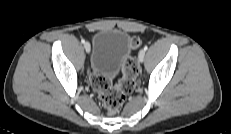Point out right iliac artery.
Returning a JSON list of instances; mask_svg holds the SVG:
<instances>
[{
	"instance_id": "1",
	"label": "right iliac artery",
	"mask_w": 231,
	"mask_h": 134,
	"mask_svg": "<svg viewBox=\"0 0 231 134\" xmlns=\"http://www.w3.org/2000/svg\"><path fill=\"white\" fill-rule=\"evenodd\" d=\"M81 42L84 44V43H85V40H84V39H82V40H81Z\"/></svg>"
}]
</instances>
